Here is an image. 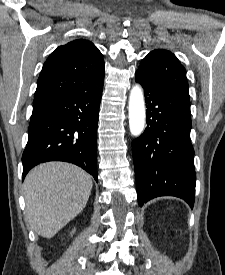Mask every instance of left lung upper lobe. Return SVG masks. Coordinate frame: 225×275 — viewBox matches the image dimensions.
<instances>
[{
  "instance_id": "1",
  "label": "left lung upper lobe",
  "mask_w": 225,
  "mask_h": 275,
  "mask_svg": "<svg viewBox=\"0 0 225 275\" xmlns=\"http://www.w3.org/2000/svg\"><path fill=\"white\" fill-rule=\"evenodd\" d=\"M137 71L148 80L190 100L186 70L170 51L156 49L150 52Z\"/></svg>"
}]
</instances>
